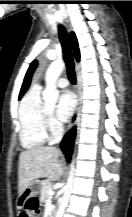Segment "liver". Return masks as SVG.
<instances>
[{"mask_svg": "<svg viewBox=\"0 0 132 217\" xmlns=\"http://www.w3.org/2000/svg\"><path fill=\"white\" fill-rule=\"evenodd\" d=\"M60 151L55 147H34L21 152L18 167V194L21 196L36 179L57 181L64 173L58 160Z\"/></svg>", "mask_w": 132, "mask_h": 217, "instance_id": "1", "label": "liver"}]
</instances>
